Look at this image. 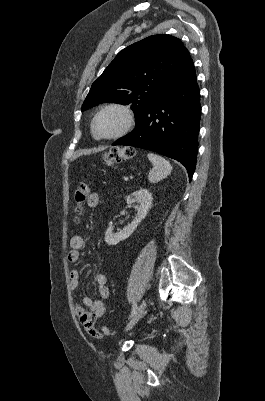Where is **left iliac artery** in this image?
<instances>
[{
  "label": "left iliac artery",
  "mask_w": 265,
  "mask_h": 401,
  "mask_svg": "<svg viewBox=\"0 0 265 401\" xmlns=\"http://www.w3.org/2000/svg\"><path fill=\"white\" fill-rule=\"evenodd\" d=\"M136 309H137V304L134 302V303H133V306H132V311H131L130 317H132V316L135 314Z\"/></svg>",
  "instance_id": "1"
}]
</instances>
